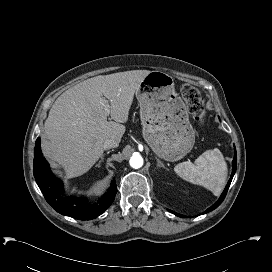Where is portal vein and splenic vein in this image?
Returning a JSON list of instances; mask_svg holds the SVG:
<instances>
[{
    "label": "portal vein and splenic vein",
    "instance_id": "1",
    "mask_svg": "<svg viewBox=\"0 0 272 272\" xmlns=\"http://www.w3.org/2000/svg\"><path fill=\"white\" fill-rule=\"evenodd\" d=\"M104 110H105V113L107 115H109V113H110L109 102H108V100H105V99H104Z\"/></svg>",
    "mask_w": 272,
    "mask_h": 272
}]
</instances>
